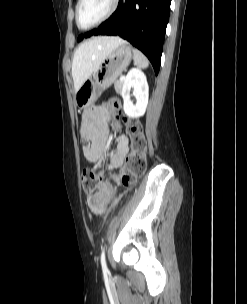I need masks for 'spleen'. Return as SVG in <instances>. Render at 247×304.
I'll use <instances>...</instances> for the list:
<instances>
[{"label":"spleen","instance_id":"1","mask_svg":"<svg viewBox=\"0 0 247 304\" xmlns=\"http://www.w3.org/2000/svg\"><path fill=\"white\" fill-rule=\"evenodd\" d=\"M133 60L134 64L139 68L145 69L149 66L147 58L138 49H133Z\"/></svg>","mask_w":247,"mask_h":304}]
</instances>
